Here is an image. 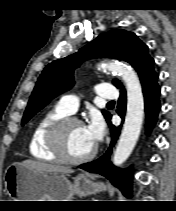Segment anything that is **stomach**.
Segmentation results:
<instances>
[{
    "instance_id": "1",
    "label": "stomach",
    "mask_w": 176,
    "mask_h": 211,
    "mask_svg": "<svg viewBox=\"0 0 176 211\" xmlns=\"http://www.w3.org/2000/svg\"><path fill=\"white\" fill-rule=\"evenodd\" d=\"M4 180L13 201H72L74 195L88 196L106 189L85 174L70 182L63 174L37 171L21 163L8 166Z\"/></svg>"
}]
</instances>
